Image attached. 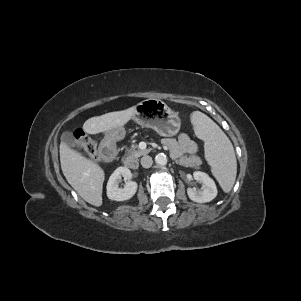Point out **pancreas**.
I'll use <instances>...</instances> for the list:
<instances>
[{"instance_id":"obj_1","label":"pancreas","mask_w":301,"mask_h":301,"mask_svg":"<svg viewBox=\"0 0 301 301\" xmlns=\"http://www.w3.org/2000/svg\"><path fill=\"white\" fill-rule=\"evenodd\" d=\"M149 150H141L136 144H133L129 150H127L125 156L129 160L137 159L140 156L146 155ZM183 166L195 167L201 164V159L198 156L183 157L180 161Z\"/></svg>"}]
</instances>
